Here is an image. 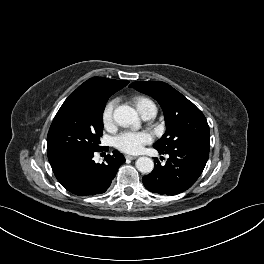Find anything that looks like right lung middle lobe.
Wrapping results in <instances>:
<instances>
[{
  "mask_svg": "<svg viewBox=\"0 0 264 264\" xmlns=\"http://www.w3.org/2000/svg\"><path fill=\"white\" fill-rule=\"evenodd\" d=\"M107 100L68 97L53 119L47 136L48 159L75 150L102 149V113Z\"/></svg>",
  "mask_w": 264,
  "mask_h": 264,
  "instance_id": "right-lung-middle-lobe-1",
  "label": "right lung middle lobe"
}]
</instances>
